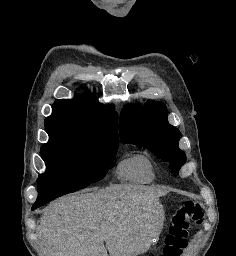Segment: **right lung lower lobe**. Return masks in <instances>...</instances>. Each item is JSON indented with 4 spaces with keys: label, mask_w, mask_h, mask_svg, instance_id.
Returning <instances> with one entry per match:
<instances>
[{
    "label": "right lung lower lobe",
    "mask_w": 236,
    "mask_h": 256,
    "mask_svg": "<svg viewBox=\"0 0 236 256\" xmlns=\"http://www.w3.org/2000/svg\"><path fill=\"white\" fill-rule=\"evenodd\" d=\"M49 202V201H48ZM45 203H47V201H42V202H35L32 206V210L38 208L39 206L44 205Z\"/></svg>",
    "instance_id": "right-lung-lower-lobe-1"
}]
</instances>
